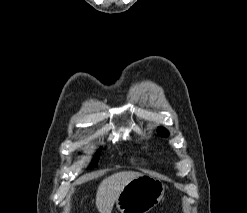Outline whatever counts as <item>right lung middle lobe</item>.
Returning <instances> with one entry per match:
<instances>
[{
	"mask_svg": "<svg viewBox=\"0 0 247 213\" xmlns=\"http://www.w3.org/2000/svg\"><path fill=\"white\" fill-rule=\"evenodd\" d=\"M98 159H99V154H97L93 160V163L92 165L94 166L97 162H98Z\"/></svg>",
	"mask_w": 247,
	"mask_h": 213,
	"instance_id": "dd1d6c3e",
	"label": "right lung middle lobe"
}]
</instances>
